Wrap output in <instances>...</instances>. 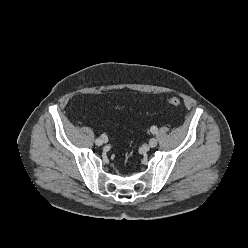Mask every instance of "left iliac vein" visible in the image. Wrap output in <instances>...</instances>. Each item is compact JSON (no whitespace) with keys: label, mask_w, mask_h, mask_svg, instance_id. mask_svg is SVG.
Masks as SVG:
<instances>
[{"label":"left iliac vein","mask_w":248,"mask_h":248,"mask_svg":"<svg viewBox=\"0 0 248 248\" xmlns=\"http://www.w3.org/2000/svg\"><path fill=\"white\" fill-rule=\"evenodd\" d=\"M157 143H158V141H157V139L156 138H151L150 140H149V146L150 147H156L157 146Z\"/></svg>","instance_id":"obj_1"}]
</instances>
